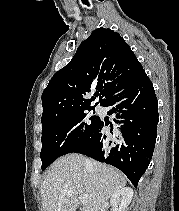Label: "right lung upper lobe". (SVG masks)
Segmentation results:
<instances>
[{"instance_id": "obj_1", "label": "right lung upper lobe", "mask_w": 179, "mask_h": 211, "mask_svg": "<svg viewBox=\"0 0 179 211\" xmlns=\"http://www.w3.org/2000/svg\"><path fill=\"white\" fill-rule=\"evenodd\" d=\"M143 67L119 33L94 30L77 49L72 60L54 74L42 94V126L56 117L87 110L100 92L104 106L114 93L133 82ZM98 103H96L97 105Z\"/></svg>"}]
</instances>
